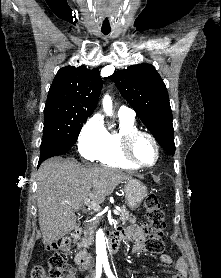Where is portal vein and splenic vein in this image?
Masks as SVG:
<instances>
[{"instance_id": "18ae733b", "label": "portal vein and splenic vein", "mask_w": 221, "mask_h": 278, "mask_svg": "<svg viewBox=\"0 0 221 278\" xmlns=\"http://www.w3.org/2000/svg\"><path fill=\"white\" fill-rule=\"evenodd\" d=\"M84 204L89 206L90 208H92L95 212H100V205L98 203L90 201V199H86L84 201ZM113 213L115 215H119L120 214L119 211L116 210V209L113 210Z\"/></svg>"}]
</instances>
